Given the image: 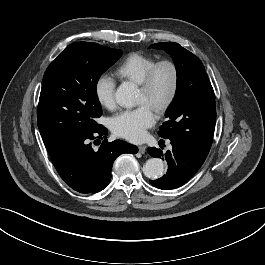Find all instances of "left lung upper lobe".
<instances>
[{
	"instance_id": "5c2ea615",
	"label": "left lung upper lobe",
	"mask_w": 265,
	"mask_h": 265,
	"mask_svg": "<svg viewBox=\"0 0 265 265\" xmlns=\"http://www.w3.org/2000/svg\"><path fill=\"white\" fill-rule=\"evenodd\" d=\"M150 47L169 53L177 71L176 94L158 134L188 146L198 157L206 159L215 130L216 107L204 66L178 43H156Z\"/></svg>"
}]
</instances>
